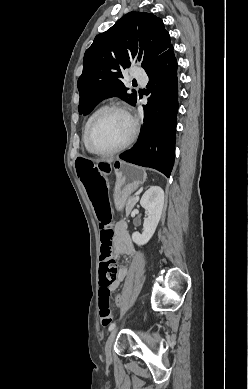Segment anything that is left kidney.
I'll return each instance as SVG.
<instances>
[{
	"mask_svg": "<svg viewBox=\"0 0 248 389\" xmlns=\"http://www.w3.org/2000/svg\"><path fill=\"white\" fill-rule=\"evenodd\" d=\"M140 204L146 210L148 216L144 220L142 234L138 232L132 234L133 242L139 246L146 244L155 233L164 204L163 189L159 186H151L143 194Z\"/></svg>",
	"mask_w": 248,
	"mask_h": 389,
	"instance_id": "obj_1",
	"label": "left kidney"
}]
</instances>
